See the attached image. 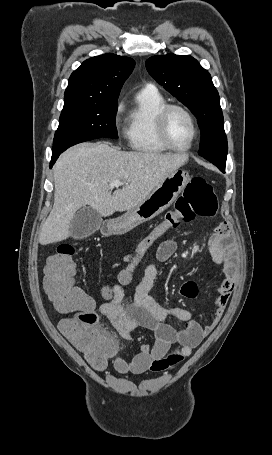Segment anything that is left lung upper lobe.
<instances>
[{"label":"left lung upper lobe","mask_w":272,"mask_h":455,"mask_svg":"<svg viewBox=\"0 0 272 455\" xmlns=\"http://www.w3.org/2000/svg\"><path fill=\"white\" fill-rule=\"evenodd\" d=\"M149 74L197 117L202 157L227 153L219 94L210 74L192 56L157 55L146 61Z\"/></svg>","instance_id":"1"}]
</instances>
